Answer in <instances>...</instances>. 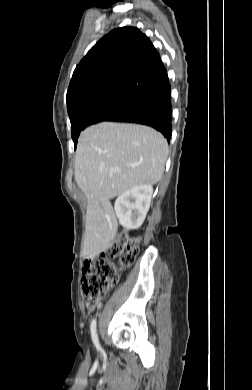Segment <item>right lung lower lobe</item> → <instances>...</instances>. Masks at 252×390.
Wrapping results in <instances>:
<instances>
[{"mask_svg": "<svg viewBox=\"0 0 252 390\" xmlns=\"http://www.w3.org/2000/svg\"><path fill=\"white\" fill-rule=\"evenodd\" d=\"M106 121L147 125L160 131L169 141L172 134L171 86L169 79L159 82L141 94L122 111Z\"/></svg>", "mask_w": 252, "mask_h": 390, "instance_id": "right-lung-lower-lobe-1", "label": "right lung lower lobe"}]
</instances>
